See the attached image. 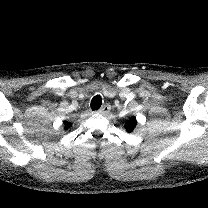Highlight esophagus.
<instances>
[{"label": "esophagus", "mask_w": 208, "mask_h": 208, "mask_svg": "<svg viewBox=\"0 0 208 208\" xmlns=\"http://www.w3.org/2000/svg\"><path fill=\"white\" fill-rule=\"evenodd\" d=\"M110 110H111L110 104L106 103L97 111V113L102 115H107L109 114Z\"/></svg>", "instance_id": "34e87169"}]
</instances>
